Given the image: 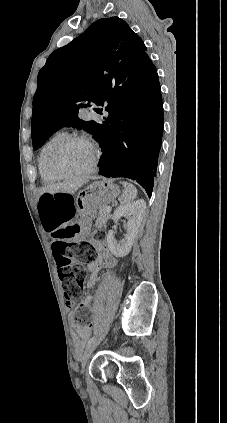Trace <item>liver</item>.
Masks as SVG:
<instances>
[{
  "mask_svg": "<svg viewBox=\"0 0 227 423\" xmlns=\"http://www.w3.org/2000/svg\"><path fill=\"white\" fill-rule=\"evenodd\" d=\"M81 186H83V182H58V184H46V186L42 188L40 196H42L44 192H48V194H57V192L75 194Z\"/></svg>",
  "mask_w": 227,
  "mask_h": 423,
  "instance_id": "obj_1",
  "label": "liver"
}]
</instances>
